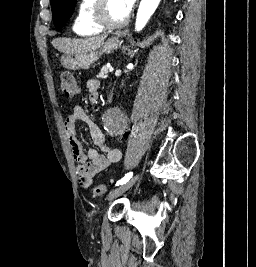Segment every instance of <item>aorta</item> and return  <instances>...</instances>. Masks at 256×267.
<instances>
[{"label": "aorta", "mask_w": 256, "mask_h": 267, "mask_svg": "<svg viewBox=\"0 0 256 267\" xmlns=\"http://www.w3.org/2000/svg\"><path fill=\"white\" fill-rule=\"evenodd\" d=\"M160 2L161 0H141L136 14L135 32H141L145 28ZM106 113H109V117H103V122H109V127H116V122H128V117H118L121 108H106Z\"/></svg>", "instance_id": "1"}]
</instances>
